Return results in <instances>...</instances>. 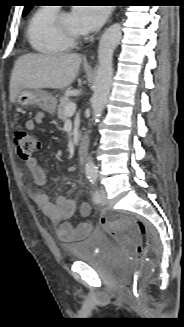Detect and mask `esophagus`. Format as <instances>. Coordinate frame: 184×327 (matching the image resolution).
Masks as SVG:
<instances>
[{
	"label": "esophagus",
	"mask_w": 184,
	"mask_h": 327,
	"mask_svg": "<svg viewBox=\"0 0 184 327\" xmlns=\"http://www.w3.org/2000/svg\"><path fill=\"white\" fill-rule=\"evenodd\" d=\"M113 12H114V8H112V13H111V16H112ZM109 21H110V19H109Z\"/></svg>",
	"instance_id": "esophagus-1"
}]
</instances>
